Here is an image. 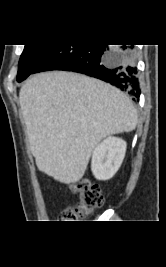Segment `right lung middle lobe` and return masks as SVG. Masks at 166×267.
I'll list each match as a JSON object with an SVG mask.
<instances>
[{"instance_id": "1", "label": "right lung middle lobe", "mask_w": 166, "mask_h": 267, "mask_svg": "<svg viewBox=\"0 0 166 267\" xmlns=\"http://www.w3.org/2000/svg\"><path fill=\"white\" fill-rule=\"evenodd\" d=\"M56 47L57 45L54 44L25 45L19 61L17 81L21 82L32 74L37 66Z\"/></svg>"}]
</instances>
